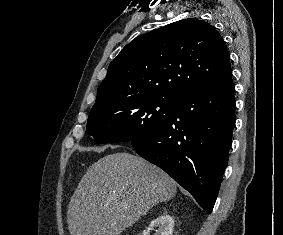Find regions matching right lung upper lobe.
Returning <instances> with one entry per match:
<instances>
[{"mask_svg":"<svg viewBox=\"0 0 283 235\" xmlns=\"http://www.w3.org/2000/svg\"><path fill=\"white\" fill-rule=\"evenodd\" d=\"M230 75V55L218 31L188 18L126 45L110 63L94 106L134 97L175 99Z\"/></svg>","mask_w":283,"mask_h":235,"instance_id":"1","label":"right lung upper lobe"}]
</instances>
